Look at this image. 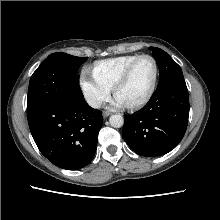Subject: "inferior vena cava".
I'll use <instances>...</instances> for the list:
<instances>
[{"label": "inferior vena cava", "mask_w": 220, "mask_h": 220, "mask_svg": "<svg viewBox=\"0 0 220 220\" xmlns=\"http://www.w3.org/2000/svg\"><path fill=\"white\" fill-rule=\"evenodd\" d=\"M89 104L94 108H98L100 107L101 102L96 99H92V100H89Z\"/></svg>", "instance_id": "inferior-vena-cava-1"}]
</instances>
